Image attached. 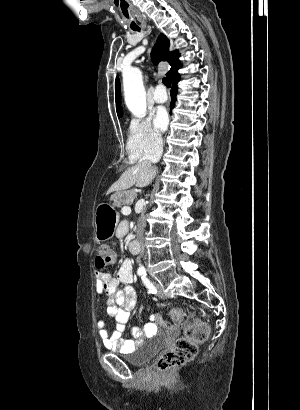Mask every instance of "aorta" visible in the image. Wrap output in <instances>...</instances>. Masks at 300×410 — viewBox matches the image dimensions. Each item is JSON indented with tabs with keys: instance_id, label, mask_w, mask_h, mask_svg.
<instances>
[{
	"instance_id": "obj_1",
	"label": "aorta",
	"mask_w": 300,
	"mask_h": 410,
	"mask_svg": "<svg viewBox=\"0 0 300 410\" xmlns=\"http://www.w3.org/2000/svg\"><path fill=\"white\" fill-rule=\"evenodd\" d=\"M123 88L125 103L130 112L139 118L146 114V92L143 85L142 72L133 67L123 72ZM140 269L144 270L143 266Z\"/></svg>"
}]
</instances>
